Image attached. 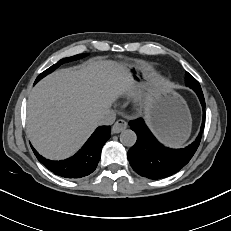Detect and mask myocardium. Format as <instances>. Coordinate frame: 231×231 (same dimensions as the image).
<instances>
[{"mask_svg": "<svg viewBox=\"0 0 231 231\" xmlns=\"http://www.w3.org/2000/svg\"><path fill=\"white\" fill-rule=\"evenodd\" d=\"M138 105H139V106H142V105H143V100H139V101H138Z\"/></svg>", "mask_w": 231, "mask_h": 231, "instance_id": "obj_1", "label": "myocardium"}]
</instances>
